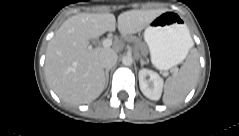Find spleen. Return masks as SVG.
Returning a JSON list of instances; mask_svg holds the SVG:
<instances>
[{
	"label": "spleen",
	"instance_id": "3e777b00",
	"mask_svg": "<svg viewBox=\"0 0 239 136\" xmlns=\"http://www.w3.org/2000/svg\"><path fill=\"white\" fill-rule=\"evenodd\" d=\"M188 40L193 46V41L188 34ZM198 55L193 52L179 71L167 78L164 86L163 102L174 105L182 102L191 89L195 86L199 76Z\"/></svg>",
	"mask_w": 239,
	"mask_h": 136
}]
</instances>
